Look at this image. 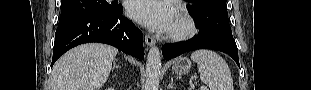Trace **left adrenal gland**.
Masks as SVG:
<instances>
[{"instance_id":"left-adrenal-gland-1","label":"left adrenal gland","mask_w":311,"mask_h":90,"mask_svg":"<svg viewBox=\"0 0 311 90\" xmlns=\"http://www.w3.org/2000/svg\"><path fill=\"white\" fill-rule=\"evenodd\" d=\"M167 89L168 90H175V86H174V84H173V77L171 78V82H170V84L167 86Z\"/></svg>"}]
</instances>
